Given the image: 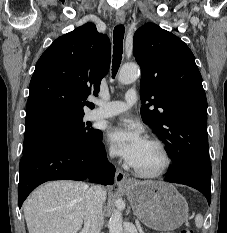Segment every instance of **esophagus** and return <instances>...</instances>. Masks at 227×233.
I'll list each match as a JSON object with an SVG mask.
<instances>
[{"mask_svg": "<svg viewBox=\"0 0 227 233\" xmlns=\"http://www.w3.org/2000/svg\"><path fill=\"white\" fill-rule=\"evenodd\" d=\"M116 22L122 24L125 21V12L123 10H118L115 15ZM115 182L118 186H127L130 184V181L127 179L125 173L117 169L115 173Z\"/></svg>", "mask_w": 227, "mask_h": 233, "instance_id": "esophagus-1", "label": "esophagus"}]
</instances>
